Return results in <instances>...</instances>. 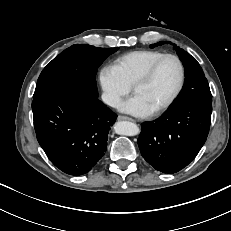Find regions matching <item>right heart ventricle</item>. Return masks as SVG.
<instances>
[{"label": "right heart ventricle", "instance_id": "e07e8e85", "mask_svg": "<svg viewBox=\"0 0 231 231\" xmlns=\"http://www.w3.org/2000/svg\"><path fill=\"white\" fill-rule=\"evenodd\" d=\"M164 53L156 50H136L126 53L113 62V67L122 79L132 86L142 72Z\"/></svg>", "mask_w": 231, "mask_h": 231}]
</instances>
